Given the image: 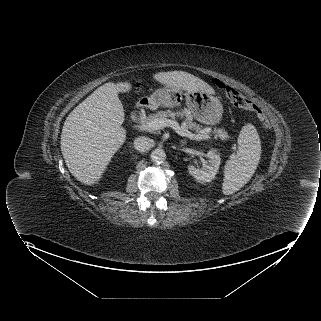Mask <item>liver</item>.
<instances>
[{"mask_svg":"<svg viewBox=\"0 0 321 321\" xmlns=\"http://www.w3.org/2000/svg\"><path fill=\"white\" fill-rule=\"evenodd\" d=\"M160 84L185 91L214 93L200 78L183 71L158 72ZM129 82H108L97 88L66 118L61 134V152L70 173L81 183L100 180L113 155L126 140L121 127L125 114L119 92H129Z\"/></svg>","mask_w":321,"mask_h":321,"instance_id":"liver-1","label":"liver"}]
</instances>
